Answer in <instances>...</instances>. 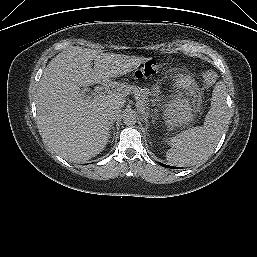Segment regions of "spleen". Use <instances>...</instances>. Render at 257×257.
<instances>
[{"label":"spleen","instance_id":"obj_1","mask_svg":"<svg viewBox=\"0 0 257 257\" xmlns=\"http://www.w3.org/2000/svg\"><path fill=\"white\" fill-rule=\"evenodd\" d=\"M226 91L221 83L213 90L211 108L203 126L185 130L169 140L166 160L172 165L192 166L208 160L219 143L228 120Z\"/></svg>","mask_w":257,"mask_h":257}]
</instances>
